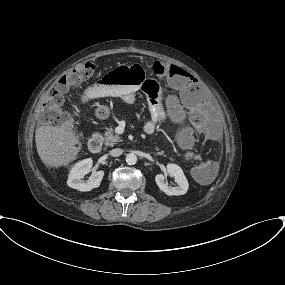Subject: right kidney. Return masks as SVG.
Listing matches in <instances>:
<instances>
[{"instance_id": "ca27d5eb", "label": "right kidney", "mask_w": 285, "mask_h": 285, "mask_svg": "<svg viewBox=\"0 0 285 285\" xmlns=\"http://www.w3.org/2000/svg\"><path fill=\"white\" fill-rule=\"evenodd\" d=\"M92 165L93 160L91 158L76 163L70 171L67 180L68 186L83 192L91 191L92 189L99 187L104 176V171L102 170L95 172L93 177L87 182L82 180V178L91 171Z\"/></svg>"}]
</instances>
